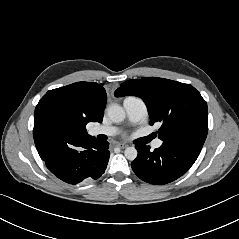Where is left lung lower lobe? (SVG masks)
<instances>
[{"instance_id":"1","label":"left lung lower lobe","mask_w":239,"mask_h":239,"mask_svg":"<svg viewBox=\"0 0 239 239\" xmlns=\"http://www.w3.org/2000/svg\"><path fill=\"white\" fill-rule=\"evenodd\" d=\"M135 147L138 156L131 164L133 171L143 181L156 185L166 184L181 177L199 155L165 142L154 151H150V147L146 145Z\"/></svg>"}]
</instances>
